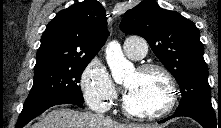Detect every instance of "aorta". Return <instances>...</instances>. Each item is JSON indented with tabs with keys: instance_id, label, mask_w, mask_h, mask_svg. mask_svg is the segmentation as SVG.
<instances>
[{
	"instance_id": "762f6f07",
	"label": "aorta",
	"mask_w": 221,
	"mask_h": 128,
	"mask_svg": "<svg viewBox=\"0 0 221 128\" xmlns=\"http://www.w3.org/2000/svg\"><path fill=\"white\" fill-rule=\"evenodd\" d=\"M105 55L115 81H122L126 74L134 71L133 64L124 57L121 45L117 41L107 44Z\"/></svg>"
}]
</instances>
